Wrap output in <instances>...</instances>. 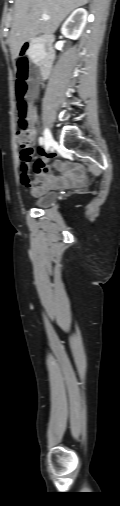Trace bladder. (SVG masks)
I'll return each instance as SVG.
<instances>
[{
  "label": "bladder",
  "instance_id": "obj_1",
  "mask_svg": "<svg viewBox=\"0 0 120 506\" xmlns=\"http://www.w3.org/2000/svg\"><path fill=\"white\" fill-rule=\"evenodd\" d=\"M57 200V193L55 192H48L43 194L42 196L36 198L33 201V204L40 208H46L50 205H52Z\"/></svg>",
  "mask_w": 120,
  "mask_h": 506
}]
</instances>
